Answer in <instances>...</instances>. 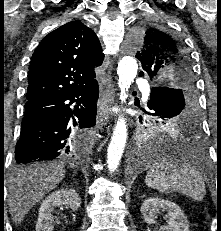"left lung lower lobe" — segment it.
Masks as SVG:
<instances>
[{
    "label": "left lung lower lobe",
    "instance_id": "1",
    "mask_svg": "<svg viewBox=\"0 0 221 231\" xmlns=\"http://www.w3.org/2000/svg\"><path fill=\"white\" fill-rule=\"evenodd\" d=\"M173 91L168 88L153 87L151 90L149 105L158 106L163 104L161 101H173ZM170 112L168 114H171ZM200 125L199 122L190 120L184 122L176 130H170L163 134V142L167 146H172L180 152H185L186 155L196 156L197 150L200 147ZM153 143L151 149L135 150L132 154L133 158H139L141 161H152L162 154V150L156 147Z\"/></svg>",
    "mask_w": 221,
    "mask_h": 231
}]
</instances>
